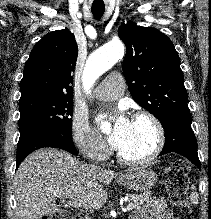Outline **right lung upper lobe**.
I'll list each match as a JSON object with an SVG mask.
<instances>
[{
    "label": "right lung upper lobe",
    "mask_w": 211,
    "mask_h": 219,
    "mask_svg": "<svg viewBox=\"0 0 211 219\" xmlns=\"http://www.w3.org/2000/svg\"><path fill=\"white\" fill-rule=\"evenodd\" d=\"M78 47L68 30L45 35L33 47L26 61L20 83L21 98L35 97L73 99V71Z\"/></svg>",
    "instance_id": "1"
}]
</instances>
